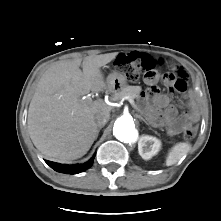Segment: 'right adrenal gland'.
<instances>
[{"label": "right adrenal gland", "mask_w": 221, "mask_h": 221, "mask_svg": "<svg viewBox=\"0 0 221 221\" xmlns=\"http://www.w3.org/2000/svg\"><path fill=\"white\" fill-rule=\"evenodd\" d=\"M99 132H100V128L97 130V134H96L95 140L97 139Z\"/></svg>", "instance_id": "right-adrenal-gland-1"}]
</instances>
